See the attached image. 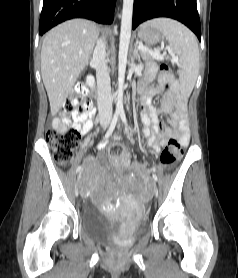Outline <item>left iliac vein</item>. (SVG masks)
Instances as JSON below:
<instances>
[{"label":"left iliac vein","instance_id":"obj_1","mask_svg":"<svg viewBox=\"0 0 238 278\" xmlns=\"http://www.w3.org/2000/svg\"><path fill=\"white\" fill-rule=\"evenodd\" d=\"M153 185H155V184H153ZM155 194H156V197H159V191L158 190L155 192Z\"/></svg>","mask_w":238,"mask_h":278}]
</instances>
